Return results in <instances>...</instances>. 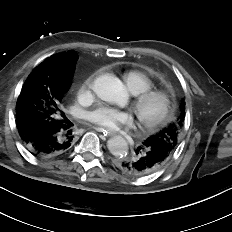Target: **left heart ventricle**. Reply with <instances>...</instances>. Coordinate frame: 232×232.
<instances>
[{"label":"left heart ventricle","mask_w":232,"mask_h":232,"mask_svg":"<svg viewBox=\"0 0 232 232\" xmlns=\"http://www.w3.org/2000/svg\"><path fill=\"white\" fill-rule=\"evenodd\" d=\"M161 107V102L159 99H153L148 102L142 109L141 113L144 117L150 118L158 113Z\"/></svg>","instance_id":"obj_1"}]
</instances>
